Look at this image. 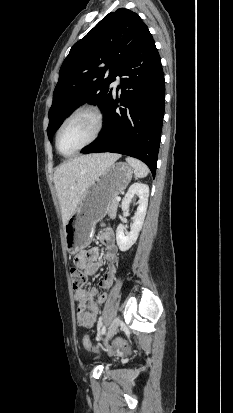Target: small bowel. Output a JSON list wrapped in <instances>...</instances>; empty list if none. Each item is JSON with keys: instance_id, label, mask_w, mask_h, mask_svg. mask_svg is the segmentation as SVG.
Returning a JSON list of instances; mask_svg holds the SVG:
<instances>
[{"instance_id": "1", "label": "small bowel", "mask_w": 233, "mask_h": 413, "mask_svg": "<svg viewBox=\"0 0 233 413\" xmlns=\"http://www.w3.org/2000/svg\"><path fill=\"white\" fill-rule=\"evenodd\" d=\"M99 240L104 245V254L108 262L107 272L103 280L100 282V288L108 291L112 286L117 273L118 248L115 244L114 232L111 228L103 229L99 234ZM100 251L97 248L90 250L82 249L78 252L75 264L83 269L86 274L93 275L102 265L99 259ZM96 288L75 291L74 298L79 304V309L76 315V322L79 326L90 328L97 321L100 312V306L107 299V292L100 295L97 300Z\"/></svg>"}]
</instances>
